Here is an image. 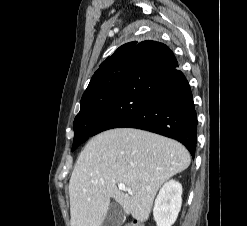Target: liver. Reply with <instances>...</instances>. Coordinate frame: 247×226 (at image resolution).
Listing matches in <instances>:
<instances>
[{
    "instance_id": "6515ba94",
    "label": "liver",
    "mask_w": 247,
    "mask_h": 226,
    "mask_svg": "<svg viewBox=\"0 0 247 226\" xmlns=\"http://www.w3.org/2000/svg\"><path fill=\"white\" fill-rule=\"evenodd\" d=\"M190 162L182 144L154 133L116 128L96 135L70 178V226H101L111 198L127 215L145 222L158 189ZM120 183L132 193L118 189Z\"/></svg>"
}]
</instances>
